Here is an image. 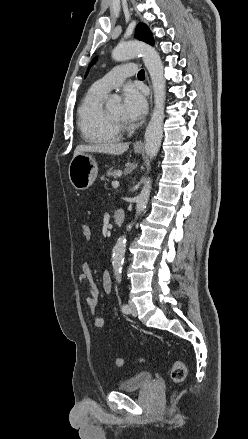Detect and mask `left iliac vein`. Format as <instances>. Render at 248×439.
<instances>
[{"label": "left iliac vein", "instance_id": "1", "mask_svg": "<svg viewBox=\"0 0 248 439\" xmlns=\"http://www.w3.org/2000/svg\"><path fill=\"white\" fill-rule=\"evenodd\" d=\"M129 307H130V313L133 316H137V309H136L135 304L133 302H129Z\"/></svg>", "mask_w": 248, "mask_h": 439}]
</instances>
